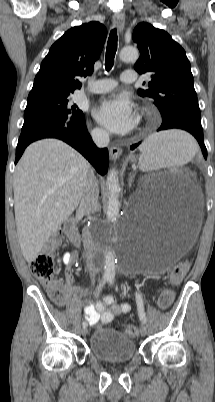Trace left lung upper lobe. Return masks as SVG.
Returning a JSON list of instances; mask_svg holds the SVG:
<instances>
[{"mask_svg":"<svg viewBox=\"0 0 215 402\" xmlns=\"http://www.w3.org/2000/svg\"><path fill=\"white\" fill-rule=\"evenodd\" d=\"M133 41L140 51L134 69L151 75L148 89H139L138 94L154 101L162 120L182 117L201 123L193 75L184 49L167 32L144 22L135 27Z\"/></svg>","mask_w":215,"mask_h":402,"instance_id":"left-lung-upper-lobe-1","label":"left lung upper lobe"}]
</instances>
